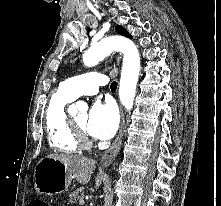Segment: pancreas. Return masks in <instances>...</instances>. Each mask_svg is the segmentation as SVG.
<instances>
[{
  "label": "pancreas",
  "instance_id": "1",
  "mask_svg": "<svg viewBox=\"0 0 221 206\" xmlns=\"http://www.w3.org/2000/svg\"><path fill=\"white\" fill-rule=\"evenodd\" d=\"M83 196H84L83 192L80 189H78L70 195L69 201L71 203L79 202V204L82 205L81 201L83 200Z\"/></svg>",
  "mask_w": 221,
  "mask_h": 206
}]
</instances>
